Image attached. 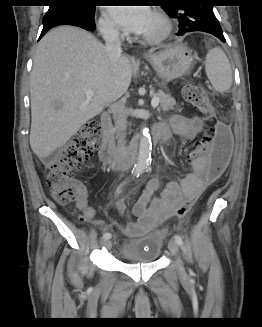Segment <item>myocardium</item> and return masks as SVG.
<instances>
[{"mask_svg":"<svg viewBox=\"0 0 262 327\" xmlns=\"http://www.w3.org/2000/svg\"><path fill=\"white\" fill-rule=\"evenodd\" d=\"M153 17L158 24V30L153 33L142 34L141 40L147 43H159L166 40L172 32V25L167 16L159 10H155Z\"/></svg>","mask_w":262,"mask_h":327,"instance_id":"myocardium-1","label":"myocardium"}]
</instances>
